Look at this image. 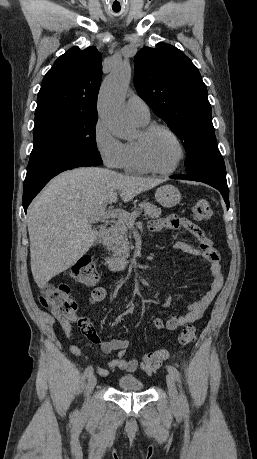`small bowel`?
Returning a JSON list of instances; mask_svg holds the SVG:
<instances>
[{"mask_svg": "<svg viewBox=\"0 0 257 459\" xmlns=\"http://www.w3.org/2000/svg\"><path fill=\"white\" fill-rule=\"evenodd\" d=\"M184 229L189 232L194 238L199 241L197 247L189 245L185 242H176L174 248L181 250L189 255L201 257L209 266L211 283L208 290L203 296L195 302L188 304L187 312L182 315H171L166 323L160 318H155L152 321V327L157 330L168 329L176 330L179 327L193 324L197 322L203 315L204 311L212 303L218 292L223 286V275L220 265V257L218 252L214 249L212 243L206 239L199 229L187 218L179 217L175 213H170L168 218L160 219V217H151L149 223V230L157 232L161 229ZM106 289L101 286H96L88 295L89 304H96L106 298ZM163 307L167 308L170 305V298L164 295L162 298ZM77 323L82 334L86 337L89 345H100L101 350L109 354L113 351L117 352L116 358L109 361L106 367H97V373L100 376H107L110 369L119 368L124 371L133 372L137 369L139 361L136 359H126V349L129 346L127 339H111L109 341H101L93 324L84 315L74 316L71 320H61L62 329L67 338L71 337L72 324ZM70 352L75 356H82L81 349L74 344L69 346Z\"/></svg>", "mask_w": 257, "mask_h": 459, "instance_id": "small-bowel-1", "label": "small bowel"}]
</instances>
